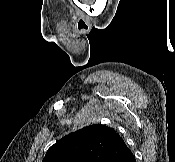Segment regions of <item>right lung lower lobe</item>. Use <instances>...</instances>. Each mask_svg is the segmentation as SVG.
Here are the masks:
<instances>
[{
	"mask_svg": "<svg viewBox=\"0 0 175 162\" xmlns=\"http://www.w3.org/2000/svg\"><path fill=\"white\" fill-rule=\"evenodd\" d=\"M115 162H136V159L133 153L130 151L118 158Z\"/></svg>",
	"mask_w": 175,
	"mask_h": 162,
	"instance_id": "98d812e1",
	"label": "right lung lower lobe"
}]
</instances>
